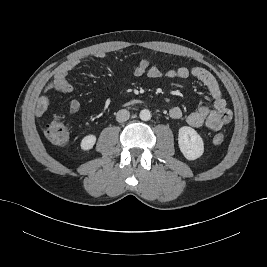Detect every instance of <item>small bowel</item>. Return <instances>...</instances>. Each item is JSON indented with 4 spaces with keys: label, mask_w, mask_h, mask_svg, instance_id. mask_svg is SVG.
I'll return each instance as SVG.
<instances>
[{
    "label": "small bowel",
    "mask_w": 267,
    "mask_h": 267,
    "mask_svg": "<svg viewBox=\"0 0 267 267\" xmlns=\"http://www.w3.org/2000/svg\"><path fill=\"white\" fill-rule=\"evenodd\" d=\"M97 58L105 57L104 52L96 53ZM79 65L78 59H73L59 68L53 76L52 81L47 85L46 90H55L59 92L69 93L73 90L68 76ZM132 75L135 77L148 76L149 78H189L193 77L200 81L209 92L213 105L212 108L202 106L196 111L189 113L185 120L186 123L192 127L206 126L213 131L220 130L223 125L230 122L232 112L227 107L226 100L223 98L219 84L216 78L206 69L202 67H179L177 69H162L156 65H150L148 59H142L132 70ZM49 105V99L42 96L36 106V114L42 116ZM70 112L75 113L80 109V102L76 99L72 100L69 104ZM169 114L173 119H181L183 111L180 107H173L170 109Z\"/></svg>",
    "instance_id": "obj_1"
}]
</instances>
